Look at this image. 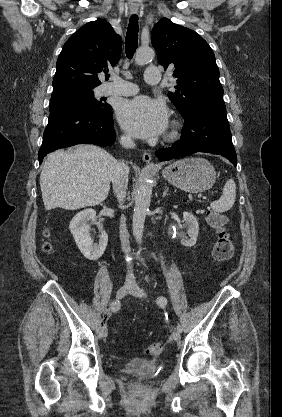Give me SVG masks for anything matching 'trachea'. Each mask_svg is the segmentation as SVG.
Returning a JSON list of instances; mask_svg holds the SVG:
<instances>
[{
  "label": "trachea",
  "mask_w": 282,
  "mask_h": 417,
  "mask_svg": "<svg viewBox=\"0 0 282 417\" xmlns=\"http://www.w3.org/2000/svg\"><path fill=\"white\" fill-rule=\"evenodd\" d=\"M138 29V16L132 15L125 38L126 55L129 59L133 57L138 45Z\"/></svg>",
  "instance_id": "1"
}]
</instances>
